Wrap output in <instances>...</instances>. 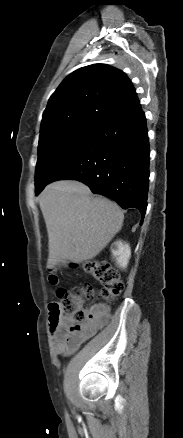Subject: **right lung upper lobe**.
Masks as SVG:
<instances>
[{
	"mask_svg": "<svg viewBox=\"0 0 183 438\" xmlns=\"http://www.w3.org/2000/svg\"><path fill=\"white\" fill-rule=\"evenodd\" d=\"M138 104L135 89L122 71L106 64L82 67L51 95L40 136L77 125L98 126Z\"/></svg>",
	"mask_w": 183,
	"mask_h": 438,
	"instance_id": "1",
	"label": "right lung upper lobe"
}]
</instances>
